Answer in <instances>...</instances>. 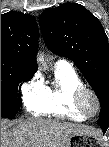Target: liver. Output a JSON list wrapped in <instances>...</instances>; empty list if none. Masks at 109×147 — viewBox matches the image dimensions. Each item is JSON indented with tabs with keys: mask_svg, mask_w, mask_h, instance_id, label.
I'll list each match as a JSON object with an SVG mask.
<instances>
[{
	"mask_svg": "<svg viewBox=\"0 0 109 147\" xmlns=\"http://www.w3.org/2000/svg\"><path fill=\"white\" fill-rule=\"evenodd\" d=\"M76 134L102 137L101 130L81 124L29 118L13 125L2 120L1 147H68Z\"/></svg>",
	"mask_w": 109,
	"mask_h": 147,
	"instance_id": "liver-1",
	"label": "liver"
}]
</instances>
